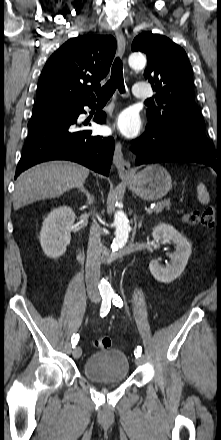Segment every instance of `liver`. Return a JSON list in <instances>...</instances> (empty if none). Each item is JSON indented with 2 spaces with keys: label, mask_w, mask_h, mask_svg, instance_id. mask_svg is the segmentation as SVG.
Returning a JSON list of instances; mask_svg holds the SVG:
<instances>
[{
  "label": "liver",
  "mask_w": 221,
  "mask_h": 440,
  "mask_svg": "<svg viewBox=\"0 0 221 440\" xmlns=\"http://www.w3.org/2000/svg\"><path fill=\"white\" fill-rule=\"evenodd\" d=\"M88 175L89 169L71 162L52 161L36 165L17 178L13 194L14 209L81 187Z\"/></svg>",
  "instance_id": "obj_1"
}]
</instances>
